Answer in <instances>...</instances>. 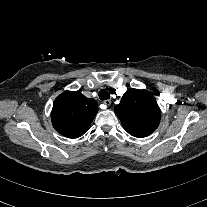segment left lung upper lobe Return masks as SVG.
<instances>
[{"label": "left lung upper lobe", "instance_id": "5c2ea615", "mask_svg": "<svg viewBox=\"0 0 207 207\" xmlns=\"http://www.w3.org/2000/svg\"><path fill=\"white\" fill-rule=\"evenodd\" d=\"M114 111L124 129L142 138L153 133L159 125L161 112L155 97L146 90L131 88L115 106Z\"/></svg>", "mask_w": 207, "mask_h": 207}]
</instances>
